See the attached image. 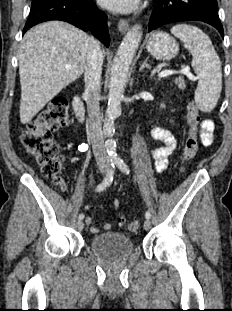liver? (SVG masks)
<instances>
[{
    "label": "liver",
    "mask_w": 232,
    "mask_h": 311,
    "mask_svg": "<svg viewBox=\"0 0 232 311\" xmlns=\"http://www.w3.org/2000/svg\"><path fill=\"white\" fill-rule=\"evenodd\" d=\"M88 38L85 32L61 21L35 26L24 35L19 52L22 124L30 122L85 71Z\"/></svg>",
    "instance_id": "obj_1"
}]
</instances>
